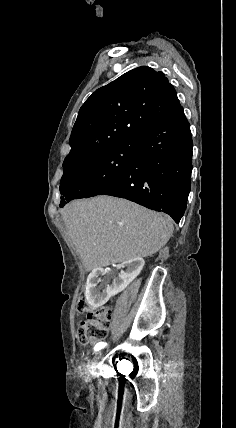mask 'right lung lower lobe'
I'll list each match as a JSON object with an SVG mask.
<instances>
[{
  "instance_id": "1",
  "label": "right lung lower lobe",
  "mask_w": 236,
  "mask_h": 428,
  "mask_svg": "<svg viewBox=\"0 0 236 428\" xmlns=\"http://www.w3.org/2000/svg\"><path fill=\"white\" fill-rule=\"evenodd\" d=\"M137 153L130 164L94 196L125 198L151 210L183 216L191 182L192 137L180 107L136 138Z\"/></svg>"
}]
</instances>
